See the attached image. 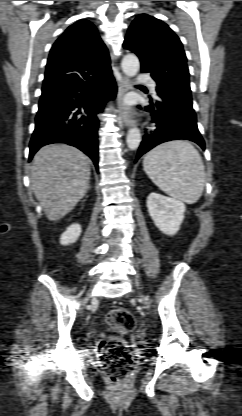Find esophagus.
<instances>
[{
	"mask_svg": "<svg viewBox=\"0 0 242 416\" xmlns=\"http://www.w3.org/2000/svg\"><path fill=\"white\" fill-rule=\"evenodd\" d=\"M131 88L130 80L127 77H123L118 88L117 99L118 103L121 106L122 100L125 93ZM119 117L126 127H130L133 125L134 120L132 119L131 115L127 112V110L120 107L119 109Z\"/></svg>",
	"mask_w": 242,
	"mask_h": 416,
	"instance_id": "esophagus-1",
	"label": "esophagus"
}]
</instances>
